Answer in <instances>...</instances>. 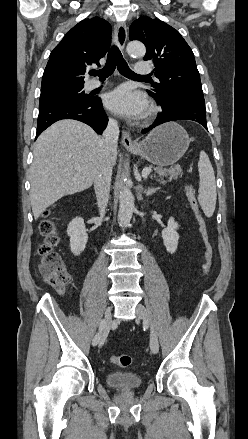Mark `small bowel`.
Wrapping results in <instances>:
<instances>
[{"mask_svg": "<svg viewBox=\"0 0 248 439\" xmlns=\"http://www.w3.org/2000/svg\"><path fill=\"white\" fill-rule=\"evenodd\" d=\"M53 287L55 288V290L57 291V293H58L60 296H63V295H64V293H65V289H64L63 286H53Z\"/></svg>", "mask_w": 248, "mask_h": 439, "instance_id": "c3829d8e", "label": "small bowel"}]
</instances>
